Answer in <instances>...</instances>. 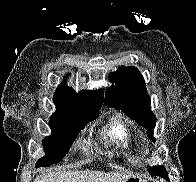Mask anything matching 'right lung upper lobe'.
<instances>
[{"label":"right lung upper lobe","instance_id":"right-lung-upper-lobe-1","mask_svg":"<svg viewBox=\"0 0 196 182\" xmlns=\"http://www.w3.org/2000/svg\"><path fill=\"white\" fill-rule=\"evenodd\" d=\"M103 93L98 91H80L76 93L65 83L59 85L54 94L56 113H66L77 116L96 114L102 106Z\"/></svg>","mask_w":196,"mask_h":182}]
</instances>
